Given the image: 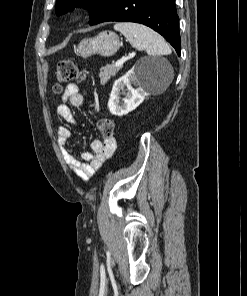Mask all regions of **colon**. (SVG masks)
Segmentation results:
<instances>
[{"label":"colon","instance_id":"obj_1","mask_svg":"<svg viewBox=\"0 0 247 296\" xmlns=\"http://www.w3.org/2000/svg\"><path fill=\"white\" fill-rule=\"evenodd\" d=\"M86 78L83 68L71 60L60 61L57 67V74L53 91L59 94L63 90V85L71 81H84ZM99 131L105 141L113 138L115 125L108 118H100L97 122Z\"/></svg>","mask_w":247,"mask_h":296}]
</instances>
